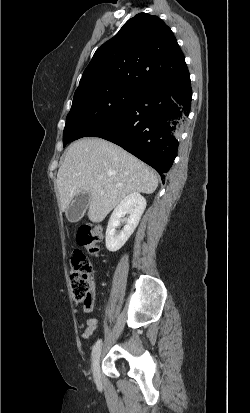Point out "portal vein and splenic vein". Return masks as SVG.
Masks as SVG:
<instances>
[{"label":"portal vein and splenic vein","instance_id":"1","mask_svg":"<svg viewBox=\"0 0 250 413\" xmlns=\"http://www.w3.org/2000/svg\"><path fill=\"white\" fill-rule=\"evenodd\" d=\"M99 179H102V177H101V176H99Z\"/></svg>","mask_w":250,"mask_h":413}]
</instances>
